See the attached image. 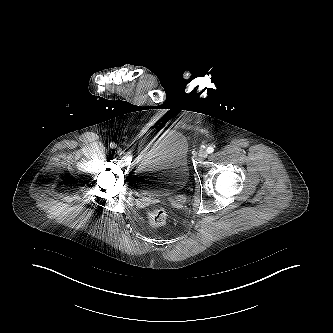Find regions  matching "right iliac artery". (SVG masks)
I'll return each mask as SVG.
<instances>
[{"label": "right iliac artery", "mask_w": 333, "mask_h": 333, "mask_svg": "<svg viewBox=\"0 0 333 333\" xmlns=\"http://www.w3.org/2000/svg\"><path fill=\"white\" fill-rule=\"evenodd\" d=\"M110 147L111 148H116V144L115 143H110Z\"/></svg>", "instance_id": "1"}]
</instances>
